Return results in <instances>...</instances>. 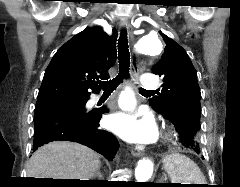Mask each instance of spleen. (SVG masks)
Listing matches in <instances>:
<instances>
[{"instance_id": "obj_1", "label": "spleen", "mask_w": 240, "mask_h": 187, "mask_svg": "<svg viewBox=\"0 0 240 187\" xmlns=\"http://www.w3.org/2000/svg\"><path fill=\"white\" fill-rule=\"evenodd\" d=\"M164 168L172 183L205 184L206 180L197 164L185 155L171 154L164 159Z\"/></svg>"}]
</instances>
